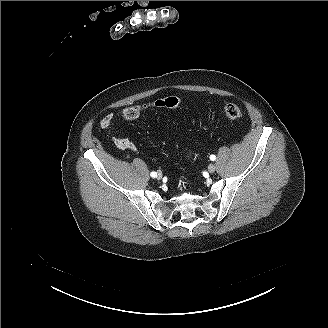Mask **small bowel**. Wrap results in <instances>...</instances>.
<instances>
[{
    "label": "small bowel",
    "mask_w": 328,
    "mask_h": 328,
    "mask_svg": "<svg viewBox=\"0 0 328 328\" xmlns=\"http://www.w3.org/2000/svg\"><path fill=\"white\" fill-rule=\"evenodd\" d=\"M113 120H114L113 114L110 113V114L105 115L100 122L101 127L103 129H108L111 126ZM116 142H117V145L122 150H127V151H135L136 150L135 144L127 139H118Z\"/></svg>",
    "instance_id": "obj_1"
}]
</instances>
